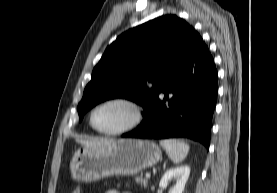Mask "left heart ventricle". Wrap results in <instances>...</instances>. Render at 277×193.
I'll return each instance as SVG.
<instances>
[{
  "label": "left heart ventricle",
  "instance_id": "left-heart-ventricle-1",
  "mask_svg": "<svg viewBox=\"0 0 277 193\" xmlns=\"http://www.w3.org/2000/svg\"><path fill=\"white\" fill-rule=\"evenodd\" d=\"M133 119V110L124 104L111 103L98 108L93 116L95 126L113 131L128 125Z\"/></svg>",
  "mask_w": 277,
  "mask_h": 193
}]
</instances>
